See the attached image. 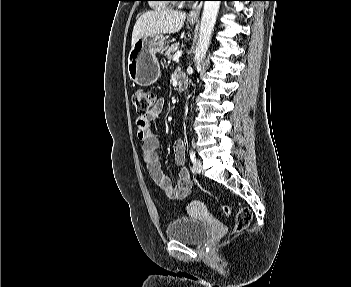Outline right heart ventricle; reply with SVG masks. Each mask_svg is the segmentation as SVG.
Segmentation results:
<instances>
[{
	"mask_svg": "<svg viewBox=\"0 0 351 287\" xmlns=\"http://www.w3.org/2000/svg\"><path fill=\"white\" fill-rule=\"evenodd\" d=\"M154 3L152 4L154 9L157 10H161V9H166L167 5L165 3H163V1H159V0H154Z\"/></svg>",
	"mask_w": 351,
	"mask_h": 287,
	"instance_id": "right-heart-ventricle-1",
	"label": "right heart ventricle"
}]
</instances>
